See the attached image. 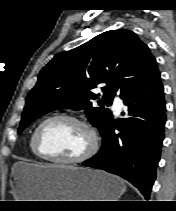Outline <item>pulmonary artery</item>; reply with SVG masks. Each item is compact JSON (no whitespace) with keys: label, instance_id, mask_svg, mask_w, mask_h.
<instances>
[{"label":"pulmonary artery","instance_id":"e3ab8cb5","mask_svg":"<svg viewBox=\"0 0 176 211\" xmlns=\"http://www.w3.org/2000/svg\"><path fill=\"white\" fill-rule=\"evenodd\" d=\"M123 106H124L123 101L120 98H115L113 102V110L115 114H119Z\"/></svg>","mask_w":176,"mask_h":211}]
</instances>
